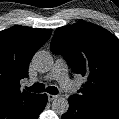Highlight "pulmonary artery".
Returning <instances> with one entry per match:
<instances>
[{
	"label": "pulmonary artery",
	"mask_w": 119,
	"mask_h": 119,
	"mask_svg": "<svg viewBox=\"0 0 119 119\" xmlns=\"http://www.w3.org/2000/svg\"><path fill=\"white\" fill-rule=\"evenodd\" d=\"M47 80H57L61 87L69 92L75 90V86L71 82L67 74V65L63 59H57L51 71L45 77Z\"/></svg>",
	"instance_id": "e3ab8cb5"
}]
</instances>
